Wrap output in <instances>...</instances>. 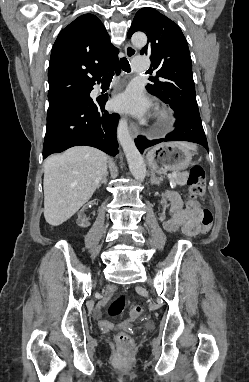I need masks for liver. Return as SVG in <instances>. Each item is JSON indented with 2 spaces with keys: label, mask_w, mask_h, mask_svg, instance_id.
Wrapping results in <instances>:
<instances>
[{
  "label": "liver",
  "mask_w": 249,
  "mask_h": 382,
  "mask_svg": "<svg viewBox=\"0 0 249 382\" xmlns=\"http://www.w3.org/2000/svg\"><path fill=\"white\" fill-rule=\"evenodd\" d=\"M107 159L99 149L76 146L45 160L43 188L47 223L52 226L64 223L92 197L107 172Z\"/></svg>",
  "instance_id": "liver-1"
}]
</instances>
